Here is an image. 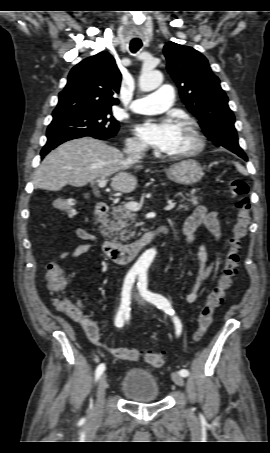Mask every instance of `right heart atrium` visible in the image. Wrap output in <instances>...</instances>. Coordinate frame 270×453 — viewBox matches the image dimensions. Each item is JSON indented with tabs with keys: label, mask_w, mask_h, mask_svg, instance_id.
I'll list each match as a JSON object with an SVG mask.
<instances>
[{
	"label": "right heart atrium",
	"mask_w": 270,
	"mask_h": 453,
	"mask_svg": "<svg viewBox=\"0 0 270 453\" xmlns=\"http://www.w3.org/2000/svg\"><path fill=\"white\" fill-rule=\"evenodd\" d=\"M126 147L134 151H144L146 149V145L137 138H128L126 141Z\"/></svg>",
	"instance_id": "1"
}]
</instances>
